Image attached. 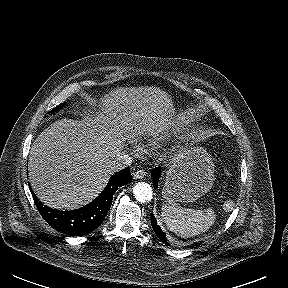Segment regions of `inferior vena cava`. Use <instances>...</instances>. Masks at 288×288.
<instances>
[{"label":"inferior vena cava","mask_w":288,"mask_h":288,"mask_svg":"<svg viewBox=\"0 0 288 288\" xmlns=\"http://www.w3.org/2000/svg\"><path fill=\"white\" fill-rule=\"evenodd\" d=\"M133 158L128 154H119L116 158L110 163V169L113 172H117L121 169L126 168L132 164Z\"/></svg>","instance_id":"inferior-vena-cava-1"}]
</instances>
